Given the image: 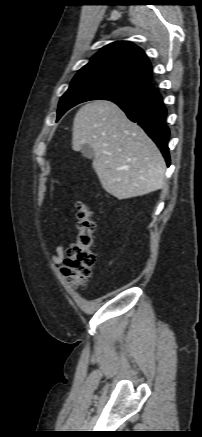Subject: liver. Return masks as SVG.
Instances as JSON below:
<instances>
[{"label":"liver","mask_w":202,"mask_h":437,"mask_svg":"<svg viewBox=\"0 0 202 437\" xmlns=\"http://www.w3.org/2000/svg\"><path fill=\"white\" fill-rule=\"evenodd\" d=\"M94 150L93 168L106 192L119 200L143 196L164 185L166 164L156 144L114 103L96 100L75 115L72 148Z\"/></svg>","instance_id":"liver-1"}]
</instances>
